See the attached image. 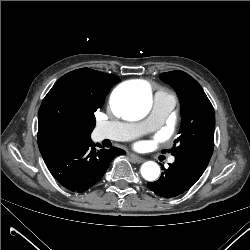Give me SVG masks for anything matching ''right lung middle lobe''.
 Wrapping results in <instances>:
<instances>
[{"instance_id": "obj_1", "label": "right lung middle lobe", "mask_w": 250, "mask_h": 250, "mask_svg": "<svg viewBox=\"0 0 250 250\" xmlns=\"http://www.w3.org/2000/svg\"><path fill=\"white\" fill-rule=\"evenodd\" d=\"M95 111H96V109L92 112V119H93L94 123H95V116H94Z\"/></svg>"}]
</instances>
